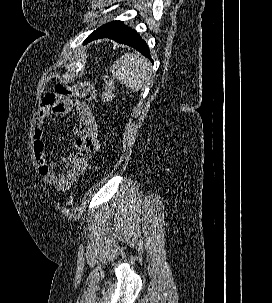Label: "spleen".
<instances>
[{
  "mask_svg": "<svg viewBox=\"0 0 272 303\" xmlns=\"http://www.w3.org/2000/svg\"><path fill=\"white\" fill-rule=\"evenodd\" d=\"M113 78L133 92H138L151 79V64L143 56L125 53L110 69Z\"/></svg>",
  "mask_w": 272,
  "mask_h": 303,
  "instance_id": "3e777b00",
  "label": "spleen"
}]
</instances>
